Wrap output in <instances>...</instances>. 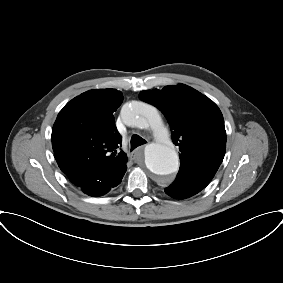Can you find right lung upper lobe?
I'll return each instance as SVG.
<instances>
[{
  "instance_id": "1",
  "label": "right lung upper lobe",
  "mask_w": 283,
  "mask_h": 283,
  "mask_svg": "<svg viewBox=\"0 0 283 283\" xmlns=\"http://www.w3.org/2000/svg\"><path fill=\"white\" fill-rule=\"evenodd\" d=\"M123 96L115 89H95L69 101L52 129V146L60 169L77 187L97 179L111 183L126 172L128 158L113 113ZM108 176L102 178V174Z\"/></svg>"
}]
</instances>
